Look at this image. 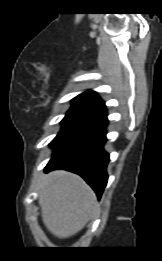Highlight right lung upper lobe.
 Returning a JSON list of instances; mask_svg holds the SVG:
<instances>
[{
  "label": "right lung upper lobe",
  "instance_id": "cb5924a9",
  "mask_svg": "<svg viewBox=\"0 0 162 261\" xmlns=\"http://www.w3.org/2000/svg\"><path fill=\"white\" fill-rule=\"evenodd\" d=\"M79 97H83V98H87V99H90V100L100 102L103 105V108H105L104 102L99 98L97 93L94 92V91H91V90L86 91V92L80 94Z\"/></svg>",
  "mask_w": 162,
  "mask_h": 261
}]
</instances>
